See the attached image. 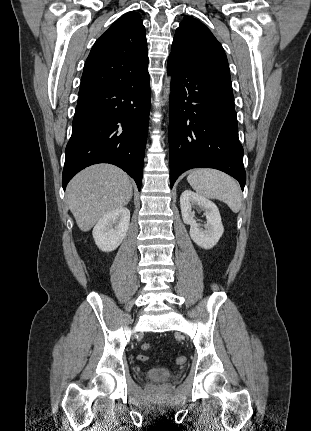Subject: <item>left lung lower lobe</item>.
<instances>
[{
  "mask_svg": "<svg viewBox=\"0 0 311 431\" xmlns=\"http://www.w3.org/2000/svg\"><path fill=\"white\" fill-rule=\"evenodd\" d=\"M171 74L170 184L191 168L221 170L244 189L246 172L238 138L231 79L195 70L169 57Z\"/></svg>",
  "mask_w": 311,
  "mask_h": 431,
  "instance_id": "left-lung-lower-lobe-1",
  "label": "left lung lower lobe"
}]
</instances>
